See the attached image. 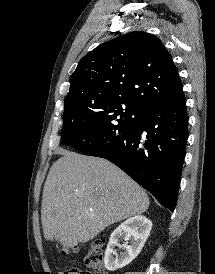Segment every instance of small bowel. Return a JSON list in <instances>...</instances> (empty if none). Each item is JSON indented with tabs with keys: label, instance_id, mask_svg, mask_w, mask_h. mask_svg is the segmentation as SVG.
Wrapping results in <instances>:
<instances>
[{
	"label": "small bowel",
	"instance_id": "c3829d8e",
	"mask_svg": "<svg viewBox=\"0 0 215 274\" xmlns=\"http://www.w3.org/2000/svg\"><path fill=\"white\" fill-rule=\"evenodd\" d=\"M59 274H66L65 271L60 272Z\"/></svg>",
	"mask_w": 215,
	"mask_h": 274
}]
</instances>
